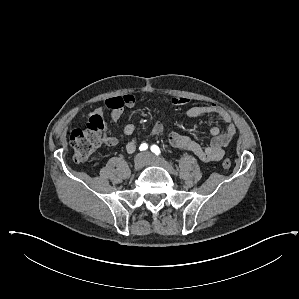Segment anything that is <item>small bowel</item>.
Wrapping results in <instances>:
<instances>
[{
	"label": "small bowel",
	"mask_w": 299,
	"mask_h": 299,
	"mask_svg": "<svg viewBox=\"0 0 299 299\" xmlns=\"http://www.w3.org/2000/svg\"><path fill=\"white\" fill-rule=\"evenodd\" d=\"M189 99L186 97H173L165 100L166 103L175 106L182 107L189 103ZM137 104V97L134 94H125L123 96L111 97L105 100L104 104L96 107L92 115L103 116L108 113L109 119L113 124H116L121 118L125 107H134ZM185 115L189 118H196L206 115L214 116L225 123L226 127L224 131L216 126L210 130L212 139L208 146H202L193 140L190 136L180 134L178 132H172L169 134L168 141L173 148L188 151L200 160L205 162L219 161L224 156V148L230 143L232 138L236 134V126L232 122L230 114L218 105H201L191 106L186 109ZM135 131L133 124H127L123 128V133L110 139V144L114 145L121 142L124 136L132 135ZM152 134L158 136L163 132V124L156 120L152 125ZM138 142L136 139L130 140L126 144V151L130 154L134 153L137 149Z\"/></svg>",
	"instance_id": "small-bowel-1"
}]
</instances>
